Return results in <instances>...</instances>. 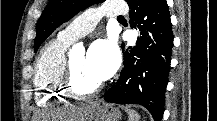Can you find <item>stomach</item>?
<instances>
[{"label":"stomach","mask_w":217,"mask_h":121,"mask_svg":"<svg viewBox=\"0 0 217 121\" xmlns=\"http://www.w3.org/2000/svg\"><path fill=\"white\" fill-rule=\"evenodd\" d=\"M121 112L110 104H97L89 117V121H119Z\"/></svg>","instance_id":"obj_1"}]
</instances>
